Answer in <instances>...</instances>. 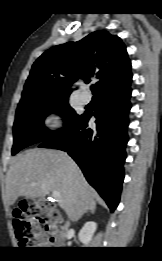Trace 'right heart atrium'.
I'll return each mask as SVG.
<instances>
[{"instance_id":"1","label":"right heart atrium","mask_w":162,"mask_h":261,"mask_svg":"<svg viewBox=\"0 0 162 261\" xmlns=\"http://www.w3.org/2000/svg\"><path fill=\"white\" fill-rule=\"evenodd\" d=\"M46 123L51 128H59L63 124V118L59 114H51L48 116Z\"/></svg>"}]
</instances>
